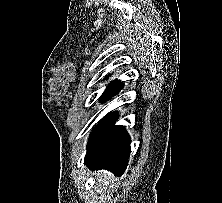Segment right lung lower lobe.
I'll list each match as a JSON object with an SVG mask.
<instances>
[{
  "instance_id": "obj_1",
  "label": "right lung lower lobe",
  "mask_w": 222,
  "mask_h": 203,
  "mask_svg": "<svg viewBox=\"0 0 222 203\" xmlns=\"http://www.w3.org/2000/svg\"><path fill=\"white\" fill-rule=\"evenodd\" d=\"M116 119V113L107 116L92 132L85 164L121 176L128 164L131 140L123 126L114 125Z\"/></svg>"
}]
</instances>
